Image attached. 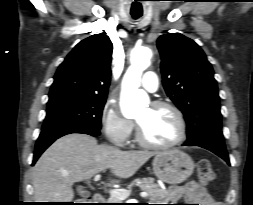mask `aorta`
Returning <instances> with one entry per match:
<instances>
[{"label": "aorta", "mask_w": 253, "mask_h": 205, "mask_svg": "<svg viewBox=\"0 0 253 205\" xmlns=\"http://www.w3.org/2000/svg\"><path fill=\"white\" fill-rule=\"evenodd\" d=\"M152 50L148 47H137L131 52V66L124 75L121 92V112L130 118L149 103L144 90L139 89L142 72L150 65Z\"/></svg>", "instance_id": "obj_1"}]
</instances>
